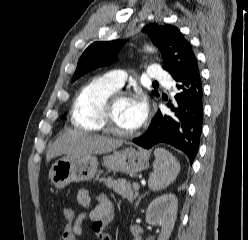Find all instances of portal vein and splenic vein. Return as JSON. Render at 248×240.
<instances>
[{
    "mask_svg": "<svg viewBox=\"0 0 248 240\" xmlns=\"http://www.w3.org/2000/svg\"><path fill=\"white\" fill-rule=\"evenodd\" d=\"M133 186L136 188V189H139V184L138 183H133Z\"/></svg>",
    "mask_w": 248,
    "mask_h": 240,
    "instance_id": "1",
    "label": "portal vein and splenic vein"
}]
</instances>
